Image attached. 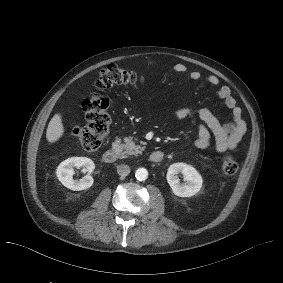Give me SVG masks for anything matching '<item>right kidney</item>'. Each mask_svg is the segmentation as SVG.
<instances>
[{"mask_svg":"<svg viewBox=\"0 0 283 283\" xmlns=\"http://www.w3.org/2000/svg\"><path fill=\"white\" fill-rule=\"evenodd\" d=\"M82 168L88 174L79 180L73 178L74 168ZM95 169L94 162L87 157H71L59 164L56 170L58 180L68 189L80 191L90 188L93 185V178L90 175Z\"/></svg>","mask_w":283,"mask_h":283,"instance_id":"right-kidney-1","label":"right kidney"}]
</instances>
